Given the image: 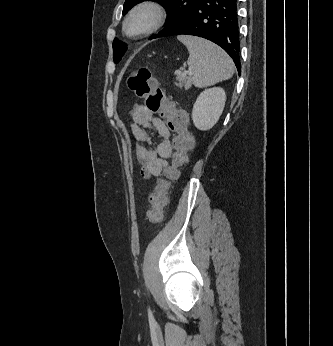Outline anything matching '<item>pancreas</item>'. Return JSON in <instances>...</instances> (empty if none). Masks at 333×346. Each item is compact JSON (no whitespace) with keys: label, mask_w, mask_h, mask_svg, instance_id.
<instances>
[{"label":"pancreas","mask_w":333,"mask_h":346,"mask_svg":"<svg viewBox=\"0 0 333 346\" xmlns=\"http://www.w3.org/2000/svg\"><path fill=\"white\" fill-rule=\"evenodd\" d=\"M177 80L179 82V86L184 85L186 89L191 87V77L187 76L185 73L179 71L177 73Z\"/></svg>","instance_id":"cf45deb5"}]
</instances>
